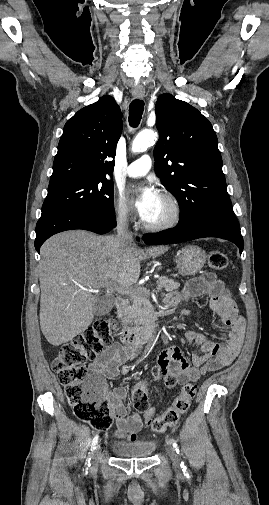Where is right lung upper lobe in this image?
I'll return each mask as SVG.
<instances>
[{
    "instance_id": "right-lung-upper-lobe-1",
    "label": "right lung upper lobe",
    "mask_w": 269,
    "mask_h": 505,
    "mask_svg": "<svg viewBox=\"0 0 269 505\" xmlns=\"http://www.w3.org/2000/svg\"><path fill=\"white\" fill-rule=\"evenodd\" d=\"M122 114L113 97L103 96L79 110L63 129L48 188L107 179L114 168Z\"/></svg>"
}]
</instances>
